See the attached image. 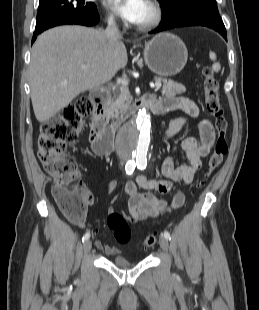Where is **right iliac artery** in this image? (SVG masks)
Here are the masks:
<instances>
[{
  "mask_svg": "<svg viewBox=\"0 0 259 310\" xmlns=\"http://www.w3.org/2000/svg\"><path fill=\"white\" fill-rule=\"evenodd\" d=\"M135 169V162L134 161H128L126 166H125V171L128 175H131L133 173ZM90 238V233H85L83 238H82V241L85 242L87 241L88 239Z\"/></svg>",
  "mask_w": 259,
  "mask_h": 310,
  "instance_id": "obj_1",
  "label": "right iliac artery"
}]
</instances>
